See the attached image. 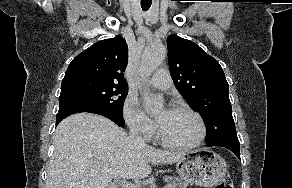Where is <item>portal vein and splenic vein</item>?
<instances>
[{
	"label": "portal vein and splenic vein",
	"mask_w": 292,
	"mask_h": 188,
	"mask_svg": "<svg viewBox=\"0 0 292 188\" xmlns=\"http://www.w3.org/2000/svg\"><path fill=\"white\" fill-rule=\"evenodd\" d=\"M91 174H93V173H91ZM120 182H121L123 188H136L132 183L127 182L126 180H121ZM165 188H168V186H166Z\"/></svg>",
	"instance_id": "18ae733b"
}]
</instances>
